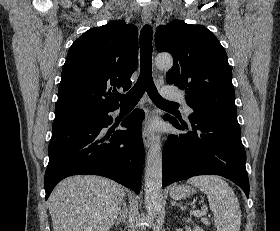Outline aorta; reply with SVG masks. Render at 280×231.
I'll return each instance as SVG.
<instances>
[{
	"label": "aorta",
	"instance_id": "aorta-1",
	"mask_svg": "<svg viewBox=\"0 0 280 231\" xmlns=\"http://www.w3.org/2000/svg\"><path fill=\"white\" fill-rule=\"evenodd\" d=\"M159 70H169L173 66L170 54H159L155 58ZM162 143L160 135H153L145 167V207L149 215H155L162 203Z\"/></svg>",
	"mask_w": 280,
	"mask_h": 231
}]
</instances>
